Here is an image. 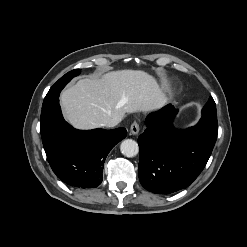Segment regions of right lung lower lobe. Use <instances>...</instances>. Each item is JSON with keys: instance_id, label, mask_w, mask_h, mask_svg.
<instances>
[{"instance_id": "obj_1", "label": "right lung lower lobe", "mask_w": 247, "mask_h": 247, "mask_svg": "<svg viewBox=\"0 0 247 247\" xmlns=\"http://www.w3.org/2000/svg\"><path fill=\"white\" fill-rule=\"evenodd\" d=\"M40 132L54 173L63 182L79 188L101 184L108 153L127 135L125 128L74 129L63 119L59 99L42 107Z\"/></svg>"}]
</instances>
